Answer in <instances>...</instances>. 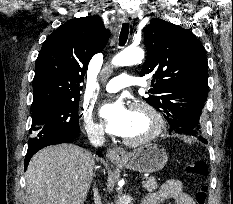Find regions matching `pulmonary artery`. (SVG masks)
<instances>
[{
    "mask_svg": "<svg viewBox=\"0 0 233 204\" xmlns=\"http://www.w3.org/2000/svg\"><path fill=\"white\" fill-rule=\"evenodd\" d=\"M133 85H140V81L136 77L124 73L112 78L105 85V90L109 93H115L121 90L122 88Z\"/></svg>",
    "mask_w": 233,
    "mask_h": 204,
    "instance_id": "1",
    "label": "pulmonary artery"
}]
</instances>
